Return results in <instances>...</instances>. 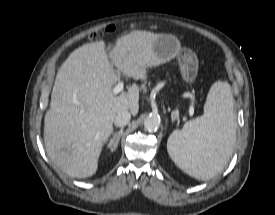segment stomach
Masks as SVG:
<instances>
[{
	"label": "stomach",
	"instance_id": "1",
	"mask_svg": "<svg viewBox=\"0 0 275 215\" xmlns=\"http://www.w3.org/2000/svg\"><path fill=\"white\" fill-rule=\"evenodd\" d=\"M154 51L162 60L177 57L181 76L186 83L192 84L198 74V59L194 52L182 48L179 40L170 34H161L154 43Z\"/></svg>",
	"mask_w": 275,
	"mask_h": 215
}]
</instances>
